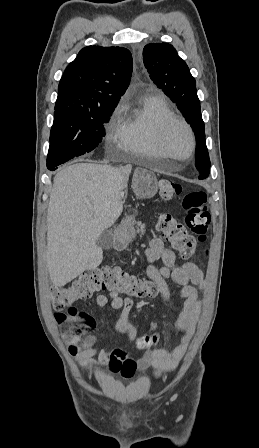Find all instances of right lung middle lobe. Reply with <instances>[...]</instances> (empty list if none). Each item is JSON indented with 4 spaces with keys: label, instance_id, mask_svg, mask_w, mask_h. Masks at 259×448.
Returning a JSON list of instances; mask_svg holds the SVG:
<instances>
[{
    "label": "right lung middle lobe",
    "instance_id": "dd1d6c3e",
    "mask_svg": "<svg viewBox=\"0 0 259 448\" xmlns=\"http://www.w3.org/2000/svg\"><path fill=\"white\" fill-rule=\"evenodd\" d=\"M114 108H100L77 113H54L50 131L47 168L92 151L105 135L104 124Z\"/></svg>",
    "mask_w": 259,
    "mask_h": 448
}]
</instances>
